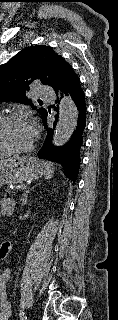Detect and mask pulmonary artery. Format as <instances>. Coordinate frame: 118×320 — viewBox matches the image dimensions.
Instances as JSON below:
<instances>
[{"label":"pulmonary artery","mask_w":118,"mask_h":320,"mask_svg":"<svg viewBox=\"0 0 118 320\" xmlns=\"http://www.w3.org/2000/svg\"><path fill=\"white\" fill-rule=\"evenodd\" d=\"M38 95L43 100H52L55 98L53 91L46 87L37 88Z\"/></svg>","instance_id":"pulmonary-artery-1"}]
</instances>
